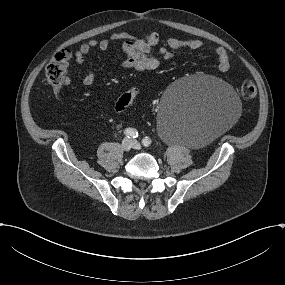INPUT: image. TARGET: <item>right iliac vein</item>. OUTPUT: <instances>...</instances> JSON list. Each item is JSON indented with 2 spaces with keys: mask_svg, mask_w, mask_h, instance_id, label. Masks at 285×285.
<instances>
[{
  "mask_svg": "<svg viewBox=\"0 0 285 285\" xmlns=\"http://www.w3.org/2000/svg\"><path fill=\"white\" fill-rule=\"evenodd\" d=\"M133 147V143L130 139L125 138L121 143V148L123 151L128 152Z\"/></svg>",
  "mask_w": 285,
  "mask_h": 285,
  "instance_id": "1",
  "label": "right iliac vein"
}]
</instances>
